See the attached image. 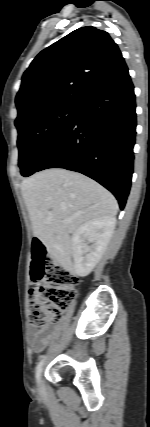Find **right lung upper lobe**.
Returning <instances> with one entry per match:
<instances>
[{"mask_svg":"<svg viewBox=\"0 0 150 427\" xmlns=\"http://www.w3.org/2000/svg\"><path fill=\"white\" fill-rule=\"evenodd\" d=\"M126 70L107 32L92 26L79 28L41 51L25 71L15 100L17 119L41 107L78 106Z\"/></svg>","mask_w":150,"mask_h":427,"instance_id":"obj_1","label":"right lung upper lobe"}]
</instances>
